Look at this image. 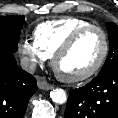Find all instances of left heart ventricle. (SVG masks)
Listing matches in <instances>:
<instances>
[{
    "instance_id": "1",
    "label": "left heart ventricle",
    "mask_w": 118,
    "mask_h": 118,
    "mask_svg": "<svg viewBox=\"0 0 118 118\" xmlns=\"http://www.w3.org/2000/svg\"><path fill=\"white\" fill-rule=\"evenodd\" d=\"M103 51V39L98 31L83 35L77 43L62 56L58 70L66 76H77L90 70L99 60Z\"/></svg>"
}]
</instances>
